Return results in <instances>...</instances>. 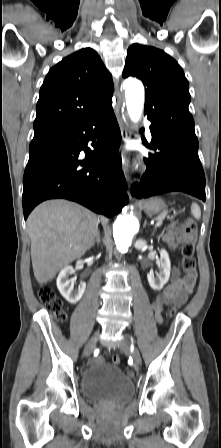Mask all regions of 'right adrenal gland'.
<instances>
[{
    "mask_svg": "<svg viewBox=\"0 0 221 448\" xmlns=\"http://www.w3.org/2000/svg\"><path fill=\"white\" fill-rule=\"evenodd\" d=\"M96 243H97V244H100V243H101L100 231L97 232V234H96V238H95V240L92 242L90 248L93 247Z\"/></svg>",
    "mask_w": 221,
    "mask_h": 448,
    "instance_id": "1",
    "label": "right adrenal gland"
}]
</instances>
